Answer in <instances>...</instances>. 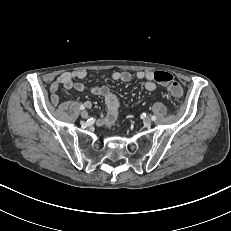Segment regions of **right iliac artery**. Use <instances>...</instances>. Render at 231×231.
Listing matches in <instances>:
<instances>
[{
    "label": "right iliac artery",
    "mask_w": 231,
    "mask_h": 231,
    "mask_svg": "<svg viewBox=\"0 0 231 231\" xmlns=\"http://www.w3.org/2000/svg\"><path fill=\"white\" fill-rule=\"evenodd\" d=\"M80 109H81V110H84V109H85V106H84V105H80Z\"/></svg>",
    "instance_id": "obj_1"
}]
</instances>
